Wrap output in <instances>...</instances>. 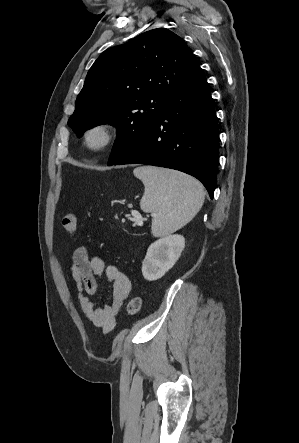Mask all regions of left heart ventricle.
<instances>
[{"label":"left heart ventricle","mask_w":299,"mask_h":443,"mask_svg":"<svg viewBox=\"0 0 299 443\" xmlns=\"http://www.w3.org/2000/svg\"><path fill=\"white\" fill-rule=\"evenodd\" d=\"M98 140H99V136L96 135V136L93 137V141L94 142H97Z\"/></svg>","instance_id":"b2bd125f"}]
</instances>
